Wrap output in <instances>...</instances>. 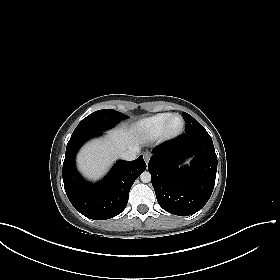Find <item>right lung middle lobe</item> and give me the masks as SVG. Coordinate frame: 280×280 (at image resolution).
<instances>
[{
    "label": "right lung middle lobe",
    "instance_id": "right-lung-middle-lobe-1",
    "mask_svg": "<svg viewBox=\"0 0 280 280\" xmlns=\"http://www.w3.org/2000/svg\"><path fill=\"white\" fill-rule=\"evenodd\" d=\"M123 119H128V116L115 110H98L84 118L74 130L72 136L105 131L114 127Z\"/></svg>",
    "mask_w": 280,
    "mask_h": 280
}]
</instances>
